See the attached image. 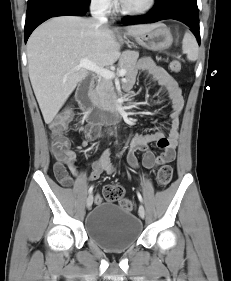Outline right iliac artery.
<instances>
[{
	"instance_id": "1",
	"label": "right iliac artery",
	"mask_w": 231,
	"mask_h": 281,
	"mask_svg": "<svg viewBox=\"0 0 231 281\" xmlns=\"http://www.w3.org/2000/svg\"><path fill=\"white\" fill-rule=\"evenodd\" d=\"M93 188H94V186L92 185V186L89 188L88 192L91 193V192L93 191Z\"/></svg>"
}]
</instances>
